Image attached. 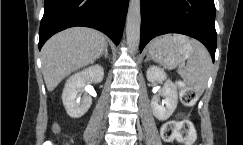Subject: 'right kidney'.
Wrapping results in <instances>:
<instances>
[{
	"label": "right kidney",
	"instance_id": "ca27d5eb",
	"mask_svg": "<svg viewBox=\"0 0 243 145\" xmlns=\"http://www.w3.org/2000/svg\"><path fill=\"white\" fill-rule=\"evenodd\" d=\"M104 76V69L100 65H93L70 76L66 81L62 101L67 114L72 118L83 116L92 104L90 96L85 95L80 101L79 94L84 91L87 80L101 82Z\"/></svg>",
	"mask_w": 243,
	"mask_h": 145
}]
</instances>
